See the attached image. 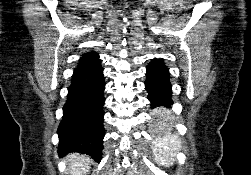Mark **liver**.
<instances>
[{
  "mask_svg": "<svg viewBox=\"0 0 251 175\" xmlns=\"http://www.w3.org/2000/svg\"><path fill=\"white\" fill-rule=\"evenodd\" d=\"M66 161H68L69 173L71 175H83V173H87L89 171V157H85V155H80V153H69L66 157Z\"/></svg>",
  "mask_w": 251,
  "mask_h": 175,
  "instance_id": "liver-1",
  "label": "liver"
}]
</instances>
